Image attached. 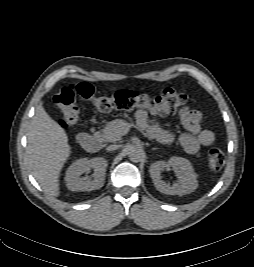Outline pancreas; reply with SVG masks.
Instances as JSON below:
<instances>
[{"instance_id":"pancreas-1","label":"pancreas","mask_w":254,"mask_h":267,"mask_svg":"<svg viewBox=\"0 0 254 267\" xmlns=\"http://www.w3.org/2000/svg\"><path fill=\"white\" fill-rule=\"evenodd\" d=\"M125 121L116 119L108 122L104 129L97 132V137L101 142H116L124 134Z\"/></svg>"}]
</instances>
